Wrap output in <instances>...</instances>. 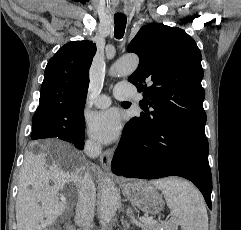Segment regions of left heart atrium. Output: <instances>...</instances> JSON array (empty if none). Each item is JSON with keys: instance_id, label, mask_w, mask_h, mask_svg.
I'll return each mask as SVG.
<instances>
[{"instance_id": "1", "label": "left heart atrium", "mask_w": 241, "mask_h": 230, "mask_svg": "<svg viewBox=\"0 0 241 230\" xmlns=\"http://www.w3.org/2000/svg\"><path fill=\"white\" fill-rule=\"evenodd\" d=\"M121 115L116 108H110L95 113L90 121L89 133L100 143H111L120 134Z\"/></svg>"}]
</instances>
